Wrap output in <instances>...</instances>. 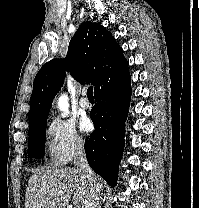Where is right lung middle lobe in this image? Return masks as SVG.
I'll list each match as a JSON object with an SVG mask.
<instances>
[{
	"instance_id": "obj_1",
	"label": "right lung middle lobe",
	"mask_w": 199,
	"mask_h": 208,
	"mask_svg": "<svg viewBox=\"0 0 199 208\" xmlns=\"http://www.w3.org/2000/svg\"><path fill=\"white\" fill-rule=\"evenodd\" d=\"M47 122L29 131L28 155L30 158H42L45 152Z\"/></svg>"
}]
</instances>
